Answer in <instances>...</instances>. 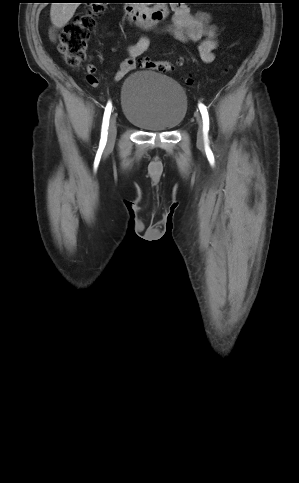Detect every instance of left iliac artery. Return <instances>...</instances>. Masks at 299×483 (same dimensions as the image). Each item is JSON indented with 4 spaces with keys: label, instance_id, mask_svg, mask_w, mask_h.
<instances>
[{
    "label": "left iliac artery",
    "instance_id": "obj_1",
    "mask_svg": "<svg viewBox=\"0 0 299 483\" xmlns=\"http://www.w3.org/2000/svg\"><path fill=\"white\" fill-rule=\"evenodd\" d=\"M199 110L201 112L202 119H203V130H204V134L207 135V133L209 131V115H208V111H207L206 106L204 104H202V103L199 104Z\"/></svg>",
    "mask_w": 299,
    "mask_h": 483
}]
</instances>
